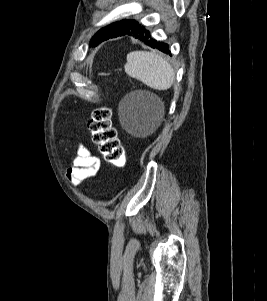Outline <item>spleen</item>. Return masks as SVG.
<instances>
[{
    "instance_id": "3e777b00",
    "label": "spleen",
    "mask_w": 267,
    "mask_h": 301,
    "mask_svg": "<svg viewBox=\"0 0 267 301\" xmlns=\"http://www.w3.org/2000/svg\"><path fill=\"white\" fill-rule=\"evenodd\" d=\"M125 72L155 90L169 89L175 78L171 65L159 54L133 51L127 55Z\"/></svg>"
}]
</instances>
